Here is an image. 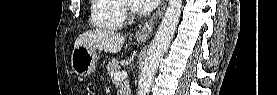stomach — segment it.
<instances>
[{
	"label": "stomach",
	"mask_w": 277,
	"mask_h": 95,
	"mask_svg": "<svg viewBox=\"0 0 277 95\" xmlns=\"http://www.w3.org/2000/svg\"><path fill=\"white\" fill-rule=\"evenodd\" d=\"M97 53L94 48L78 46L71 55V67L73 73L86 77L95 71L97 66Z\"/></svg>",
	"instance_id": "stomach-1"
}]
</instances>
